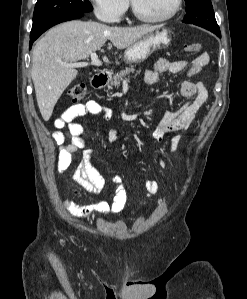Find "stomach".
<instances>
[{
  "label": "stomach",
  "instance_id": "0dacf381",
  "mask_svg": "<svg viewBox=\"0 0 247 299\" xmlns=\"http://www.w3.org/2000/svg\"><path fill=\"white\" fill-rule=\"evenodd\" d=\"M171 43V32L161 26L148 33L127 48L124 59L127 63H140L145 61L153 52L166 48Z\"/></svg>",
  "mask_w": 247,
  "mask_h": 299
}]
</instances>
